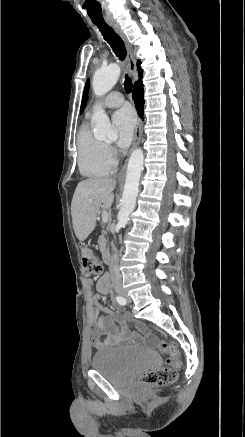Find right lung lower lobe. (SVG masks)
I'll return each instance as SVG.
<instances>
[{"label":"right lung lower lobe","mask_w":245,"mask_h":437,"mask_svg":"<svg viewBox=\"0 0 245 437\" xmlns=\"http://www.w3.org/2000/svg\"><path fill=\"white\" fill-rule=\"evenodd\" d=\"M143 84L141 79L134 84L132 97L137 109L138 114L142 117L144 114V98H143Z\"/></svg>","instance_id":"right-lung-lower-lobe-1"}]
</instances>
